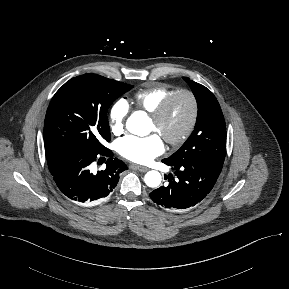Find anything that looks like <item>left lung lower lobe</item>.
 Instances as JSON below:
<instances>
[{"instance_id":"obj_1","label":"left lung lower lobe","mask_w":289,"mask_h":289,"mask_svg":"<svg viewBox=\"0 0 289 289\" xmlns=\"http://www.w3.org/2000/svg\"><path fill=\"white\" fill-rule=\"evenodd\" d=\"M162 162L171 166L178 179L174 180L170 174L169 184L152 191L150 197L159 206L173 211L192 208L200 203L212 190L223 166L213 161H197L176 166L164 159Z\"/></svg>"}]
</instances>
